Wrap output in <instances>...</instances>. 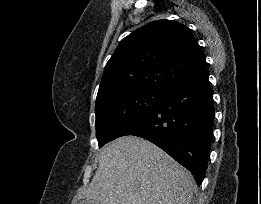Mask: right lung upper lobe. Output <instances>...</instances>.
<instances>
[{
  "label": "right lung upper lobe",
  "mask_w": 261,
  "mask_h": 204,
  "mask_svg": "<svg viewBox=\"0 0 261 204\" xmlns=\"http://www.w3.org/2000/svg\"><path fill=\"white\" fill-rule=\"evenodd\" d=\"M204 63L205 55L187 26L153 21L120 41L105 66L96 102L120 90L165 92Z\"/></svg>",
  "instance_id": "1"
}]
</instances>
